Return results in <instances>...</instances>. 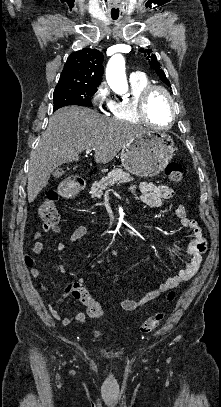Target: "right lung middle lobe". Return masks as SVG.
Masks as SVG:
<instances>
[{"label": "right lung middle lobe", "mask_w": 221, "mask_h": 407, "mask_svg": "<svg viewBox=\"0 0 221 407\" xmlns=\"http://www.w3.org/2000/svg\"><path fill=\"white\" fill-rule=\"evenodd\" d=\"M96 88L80 85L56 87L53 94V110L67 105L92 106L90 96Z\"/></svg>", "instance_id": "dd1d6c3e"}]
</instances>
